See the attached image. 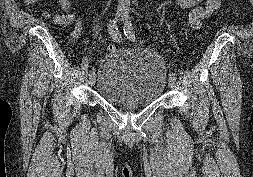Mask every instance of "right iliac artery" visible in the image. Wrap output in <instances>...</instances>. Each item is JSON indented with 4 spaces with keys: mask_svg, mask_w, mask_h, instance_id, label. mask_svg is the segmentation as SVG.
Returning <instances> with one entry per match:
<instances>
[{
    "mask_svg": "<svg viewBox=\"0 0 253 177\" xmlns=\"http://www.w3.org/2000/svg\"><path fill=\"white\" fill-rule=\"evenodd\" d=\"M108 31H109L110 36L114 40H116L118 42L122 41V35L119 32V29H118L115 19L111 20L110 23L108 24ZM92 74H94V71L89 72V76Z\"/></svg>",
    "mask_w": 253,
    "mask_h": 177,
    "instance_id": "obj_1",
    "label": "right iliac artery"
}]
</instances>
